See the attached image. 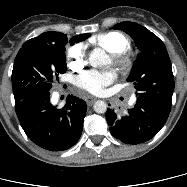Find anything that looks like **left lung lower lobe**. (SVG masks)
<instances>
[{"instance_id": "1", "label": "left lung lower lobe", "mask_w": 187, "mask_h": 187, "mask_svg": "<svg viewBox=\"0 0 187 187\" xmlns=\"http://www.w3.org/2000/svg\"><path fill=\"white\" fill-rule=\"evenodd\" d=\"M171 105L137 97L128 114L118 117L108 109L106 120L113 137L126 144H140L153 138L165 124Z\"/></svg>"}]
</instances>
